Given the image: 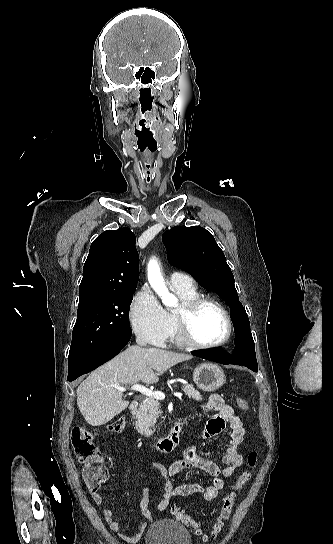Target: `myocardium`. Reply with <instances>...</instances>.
I'll return each mask as SVG.
<instances>
[{
  "instance_id": "f54148a6",
  "label": "myocardium",
  "mask_w": 333,
  "mask_h": 544,
  "mask_svg": "<svg viewBox=\"0 0 333 544\" xmlns=\"http://www.w3.org/2000/svg\"><path fill=\"white\" fill-rule=\"evenodd\" d=\"M206 304H213L217 306L223 313L227 324V333L225 337L218 342L208 344L197 341L192 330V323L195 316ZM174 317L180 339L185 345L195 349H213L223 346L231 339L233 334V322L231 315L226 306L215 297L197 296L195 298L182 301L177 310L174 311Z\"/></svg>"
}]
</instances>
